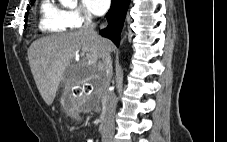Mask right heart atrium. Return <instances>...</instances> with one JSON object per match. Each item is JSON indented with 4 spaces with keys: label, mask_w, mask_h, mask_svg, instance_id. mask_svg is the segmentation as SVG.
I'll return each instance as SVG.
<instances>
[{
    "label": "right heart atrium",
    "mask_w": 227,
    "mask_h": 142,
    "mask_svg": "<svg viewBox=\"0 0 227 142\" xmlns=\"http://www.w3.org/2000/svg\"><path fill=\"white\" fill-rule=\"evenodd\" d=\"M67 19L71 27L79 28L91 20V16L82 8H75L66 11Z\"/></svg>",
    "instance_id": "d8ad5b80"
}]
</instances>
